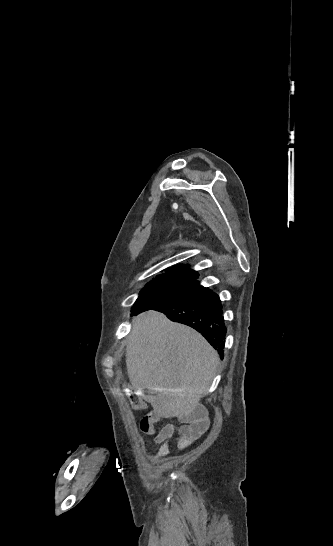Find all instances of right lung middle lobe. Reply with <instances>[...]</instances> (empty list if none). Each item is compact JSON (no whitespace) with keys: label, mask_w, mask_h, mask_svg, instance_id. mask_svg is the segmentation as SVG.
<instances>
[{"label":"right lung middle lobe","mask_w":333,"mask_h":546,"mask_svg":"<svg viewBox=\"0 0 333 546\" xmlns=\"http://www.w3.org/2000/svg\"><path fill=\"white\" fill-rule=\"evenodd\" d=\"M200 287L195 280L159 275L141 291L132 311L148 310L161 303L188 295Z\"/></svg>","instance_id":"obj_1"}]
</instances>
